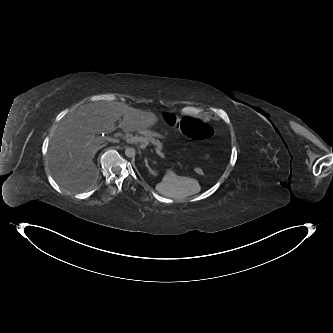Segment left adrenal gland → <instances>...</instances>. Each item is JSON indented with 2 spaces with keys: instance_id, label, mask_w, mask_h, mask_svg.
<instances>
[{
  "instance_id": "obj_1",
  "label": "left adrenal gland",
  "mask_w": 333,
  "mask_h": 333,
  "mask_svg": "<svg viewBox=\"0 0 333 333\" xmlns=\"http://www.w3.org/2000/svg\"><path fill=\"white\" fill-rule=\"evenodd\" d=\"M144 161H145V165H146V167H147L149 173L154 174L153 169H152V168L149 166V164H148L147 158H145Z\"/></svg>"
}]
</instances>
